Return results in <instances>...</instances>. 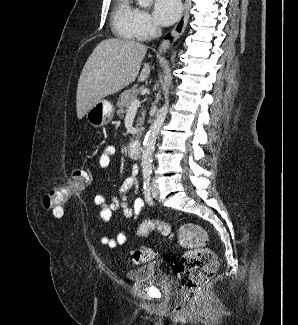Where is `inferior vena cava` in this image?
Instances as JSON below:
<instances>
[{
	"label": "inferior vena cava",
	"instance_id": "obj_1",
	"mask_svg": "<svg viewBox=\"0 0 298 325\" xmlns=\"http://www.w3.org/2000/svg\"><path fill=\"white\" fill-rule=\"evenodd\" d=\"M161 34H162V30H161V28H158V26H157V28H156V36H161Z\"/></svg>",
	"mask_w": 298,
	"mask_h": 325
}]
</instances>
